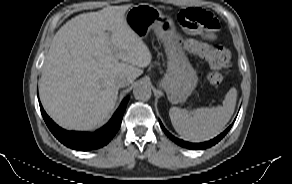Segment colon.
<instances>
[{"mask_svg": "<svg viewBox=\"0 0 292 184\" xmlns=\"http://www.w3.org/2000/svg\"><path fill=\"white\" fill-rule=\"evenodd\" d=\"M181 26L188 32L196 33L202 28L217 30L219 22L214 15L204 9L191 8L182 10L178 15ZM185 47L188 51L198 55L206 61L212 70L208 74V81L217 85L225 77V70L231 64V54L225 47L194 39L185 41Z\"/></svg>", "mask_w": 292, "mask_h": 184, "instance_id": "5ec220e1", "label": "colon"}]
</instances>
